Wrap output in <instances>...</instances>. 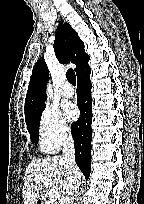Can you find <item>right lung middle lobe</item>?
<instances>
[{"mask_svg":"<svg viewBox=\"0 0 144 204\" xmlns=\"http://www.w3.org/2000/svg\"><path fill=\"white\" fill-rule=\"evenodd\" d=\"M45 106L38 110L35 114H33L28 119H25L27 124V129L30 133V138L32 143H37L39 139V120L40 116L44 110Z\"/></svg>","mask_w":144,"mask_h":204,"instance_id":"dd1d6c3e","label":"right lung middle lobe"}]
</instances>
